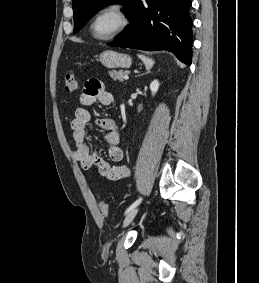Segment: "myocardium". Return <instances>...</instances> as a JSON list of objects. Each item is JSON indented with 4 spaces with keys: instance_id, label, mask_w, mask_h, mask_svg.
Returning <instances> with one entry per match:
<instances>
[{
    "instance_id": "f54148a6",
    "label": "myocardium",
    "mask_w": 259,
    "mask_h": 283,
    "mask_svg": "<svg viewBox=\"0 0 259 283\" xmlns=\"http://www.w3.org/2000/svg\"><path fill=\"white\" fill-rule=\"evenodd\" d=\"M108 12H113L117 15V17L119 18V24L110 34L106 36H98L94 33L93 26L99 17H101L103 14H106ZM128 25H129V14L126 8L120 3L112 2L103 5L94 13L89 23V31L91 36L95 40L108 41L121 34L127 28Z\"/></svg>"
}]
</instances>
